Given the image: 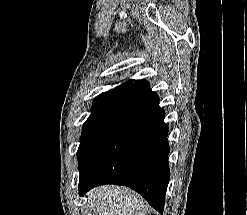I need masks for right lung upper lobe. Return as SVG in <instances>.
Wrapping results in <instances>:
<instances>
[{
    "mask_svg": "<svg viewBox=\"0 0 247 215\" xmlns=\"http://www.w3.org/2000/svg\"><path fill=\"white\" fill-rule=\"evenodd\" d=\"M138 82V81H137ZM137 82H133V80H128L127 82L123 83L122 85H120L118 88L113 89V90H118V89H122L125 90L129 87H131L132 85H134Z\"/></svg>",
    "mask_w": 247,
    "mask_h": 215,
    "instance_id": "cb5924a9",
    "label": "right lung upper lobe"
}]
</instances>
